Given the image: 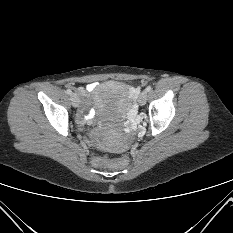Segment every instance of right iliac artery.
I'll list each match as a JSON object with an SVG mask.
<instances>
[{
  "instance_id": "obj_1",
  "label": "right iliac artery",
  "mask_w": 233,
  "mask_h": 233,
  "mask_svg": "<svg viewBox=\"0 0 233 233\" xmlns=\"http://www.w3.org/2000/svg\"><path fill=\"white\" fill-rule=\"evenodd\" d=\"M66 93H67L68 95H71V94H72V91H71L70 89H67V90H66Z\"/></svg>"
}]
</instances>
